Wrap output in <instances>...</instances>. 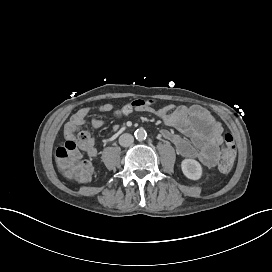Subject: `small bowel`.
<instances>
[{
	"label": "small bowel",
	"instance_id": "c3829d8e",
	"mask_svg": "<svg viewBox=\"0 0 272 272\" xmlns=\"http://www.w3.org/2000/svg\"><path fill=\"white\" fill-rule=\"evenodd\" d=\"M85 108L91 109L93 114L95 113V110L91 107H83L79 110L81 111ZM115 108L114 104L105 103L100 105L97 111L110 112ZM137 110L157 116L179 132L161 131V137L175 146L179 156L187 159H198L209 168L216 165V158L209 153L208 149L211 146H218L222 143L223 127L208 109L200 105L175 107L168 104L157 109L144 105ZM90 125L93 129H100L105 125V121L94 114ZM84 153L90 158L99 156L95 145L90 151Z\"/></svg>",
	"mask_w": 272,
	"mask_h": 272
}]
</instances>
